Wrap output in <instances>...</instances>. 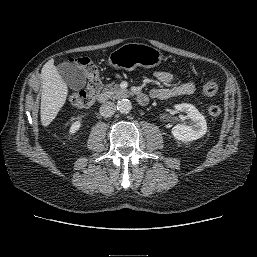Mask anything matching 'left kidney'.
<instances>
[{
  "instance_id": "5707ae66",
  "label": "left kidney",
  "mask_w": 257,
  "mask_h": 257,
  "mask_svg": "<svg viewBox=\"0 0 257 257\" xmlns=\"http://www.w3.org/2000/svg\"><path fill=\"white\" fill-rule=\"evenodd\" d=\"M179 112L186 113V117L191 120L189 125L177 124L172 128V135L180 141H193L201 138L207 132L205 117L196 107L188 103L175 105Z\"/></svg>"
}]
</instances>
